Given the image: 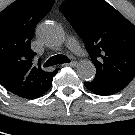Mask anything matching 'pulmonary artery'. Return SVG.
Returning <instances> with one entry per match:
<instances>
[{
    "label": "pulmonary artery",
    "instance_id": "obj_1",
    "mask_svg": "<svg viewBox=\"0 0 135 135\" xmlns=\"http://www.w3.org/2000/svg\"><path fill=\"white\" fill-rule=\"evenodd\" d=\"M68 44H69L70 49L73 50L74 52H80L81 51L80 45L74 37L69 38Z\"/></svg>",
    "mask_w": 135,
    "mask_h": 135
}]
</instances>
